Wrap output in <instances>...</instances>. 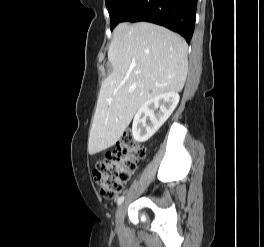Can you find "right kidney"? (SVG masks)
Returning a JSON list of instances; mask_svg holds the SVG:
<instances>
[{
    "label": "right kidney",
    "mask_w": 264,
    "mask_h": 247,
    "mask_svg": "<svg viewBox=\"0 0 264 247\" xmlns=\"http://www.w3.org/2000/svg\"><path fill=\"white\" fill-rule=\"evenodd\" d=\"M179 94L166 92L146 101L135 114L132 135L136 142L152 137L170 117L179 102ZM157 110V112H155ZM149 119V122H147Z\"/></svg>",
    "instance_id": "obj_1"
}]
</instances>
